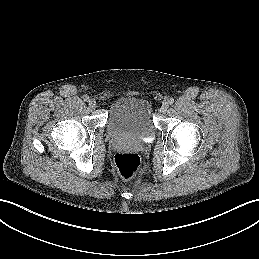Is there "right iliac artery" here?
Listing matches in <instances>:
<instances>
[{
	"instance_id": "1",
	"label": "right iliac artery",
	"mask_w": 259,
	"mask_h": 259,
	"mask_svg": "<svg viewBox=\"0 0 259 259\" xmlns=\"http://www.w3.org/2000/svg\"><path fill=\"white\" fill-rule=\"evenodd\" d=\"M84 101L88 102L90 100L89 96L85 95L83 96Z\"/></svg>"
}]
</instances>
